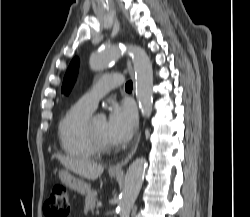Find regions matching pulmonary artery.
<instances>
[{
	"label": "pulmonary artery",
	"mask_w": 250,
	"mask_h": 217,
	"mask_svg": "<svg viewBox=\"0 0 250 217\" xmlns=\"http://www.w3.org/2000/svg\"><path fill=\"white\" fill-rule=\"evenodd\" d=\"M123 82V77L120 74H106L88 89V91L81 97L80 101L91 109H94L97 102L105 94L114 88L120 87Z\"/></svg>",
	"instance_id": "pulmonary-artery-1"
}]
</instances>
